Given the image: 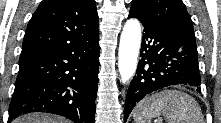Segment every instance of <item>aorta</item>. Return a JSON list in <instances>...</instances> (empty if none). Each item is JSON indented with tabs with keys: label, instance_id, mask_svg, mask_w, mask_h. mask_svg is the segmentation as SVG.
Returning a JSON list of instances; mask_svg holds the SVG:
<instances>
[{
	"label": "aorta",
	"instance_id": "1",
	"mask_svg": "<svg viewBox=\"0 0 221 123\" xmlns=\"http://www.w3.org/2000/svg\"><path fill=\"white\" fill-rule=\"evenodd\" d=\"M140 44V23L136 19H129L121 33L118 53V68L123 83L127 82L136 71Z\"/></svg>",
	"mask_w": 221,
	"mask_h": 123
}]
</instances>
